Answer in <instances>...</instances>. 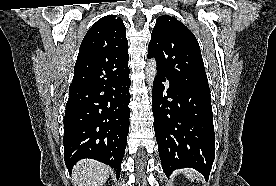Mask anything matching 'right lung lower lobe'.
Returning a JSON list of instances; mask_svg holds the SVG:
<instances>
[{
	"instance_id": "right-lung-lower-lobe-1",
	"label": "right lung lower lobe",
	"mask_w": 276,
	"mask_h": 186,
	"mask_svg": "<svg viewBox=\"0 0 276 186\" xmlns=\"http://www.w3.org/2000/svg\"><path fill=\"white\" fill-rule=\"evenodd\" d=\"M129 74L99 87L69 91L64 116V160L71 173L76 162L91 158L120 176L129 132Z\"/></svg>"
}]
</instances>
